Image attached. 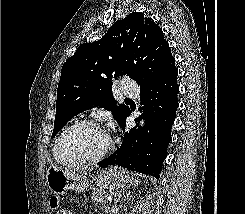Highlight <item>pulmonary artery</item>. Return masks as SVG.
Listing matches in <instances>:
<instances>
[{
	"label": "pulmonary artery",
	"instance_id": "e3ab8cb5",
	"mask_svg": "<svg viewBox=\"0 0 245 214\" xmlns=\"http://www.w3.org/2000/svg\"><path fill=\"white\" fill-rule=\"evenodd\" d=\"M121 84L124 95L134 98L139 96V86L135 81L123 80Z\"/></svg>",
	"mask_w": 245,
	"mask_h": 214
}]
</instances>
